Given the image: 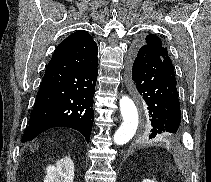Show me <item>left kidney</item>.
<instances>
[{"mask_svg": "<svg viewBox=\"0 0 211 182\" xmlns=\"http://www.w3.org/2000/svg\"><path fill=\"white\" fill-rule=\"evenodd\" d=\"M142 182H156V181L151 180V179H144Z\"/></svg>", "mask_w": 211, "mask_h": 182, "instance_id": "5707ae66", "label": "left kidney"}]
</instances>
